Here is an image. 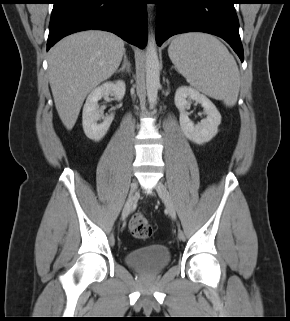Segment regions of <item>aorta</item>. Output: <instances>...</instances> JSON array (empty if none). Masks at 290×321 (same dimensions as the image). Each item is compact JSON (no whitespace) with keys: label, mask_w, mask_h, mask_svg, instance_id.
Returning <instances> with one entry per match:
<instances>
[{"label":"aorta","mask_w":290,"mask_h":321,"mask_svg":"<svg viewBox=\"0 0 290 321\" xmlns=\"http://www.w3.org/2000/svg\"><path fill=\"white\" fill-rule=\"evenodd\" d=\"M145 70L148 102L150 107L153 108L157 103L160 87V65L153 34L148 35Z\"/></svg>","instance_id":"obj_1"}]
</instances>
